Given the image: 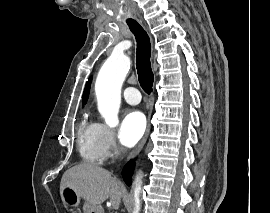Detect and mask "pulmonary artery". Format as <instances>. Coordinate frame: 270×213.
<instances>
[{
	"label": "pulmonary artery",
	"mask_w": 270,
	"mask_h": 213,
	"mask_svg": "<svg viewBox=\"0 0 270 213\" xmlns=\"http://www.w3.org/2000/svg\"><path fill=\"white\" fill-rule=\"evenodd\" d=\"M123 96L126 102L132 105H136L141 101L140 92L136 88H133V87L126 88L123 91Z\"/></svg>",
	"instance_id": "1"
}]
</instances>
